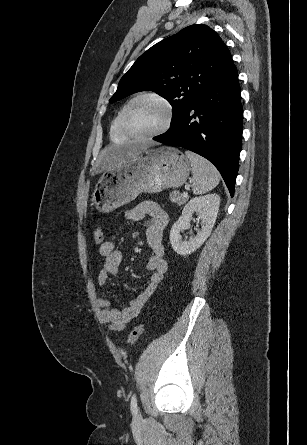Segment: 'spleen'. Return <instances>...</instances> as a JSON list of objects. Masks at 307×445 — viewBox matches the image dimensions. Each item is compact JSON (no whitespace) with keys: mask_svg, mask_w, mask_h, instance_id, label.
I'll return each mask as SVG.
<instances>
[{"mask_svg":"<svg viewBox=\"0 0 307 445\" xmlns=\"http://www.w3.org/2000/svg\"><path fill=\"white\" fill-rule=\"evenodd\" d=\"M185 154L192 166V190L194 194H204V192L215 188L219 184L220 172H218L214 164H211L209 160H206L200 154L191 152V150H186Z\"/></svg>","mask_w":307,"mask_h":445,"instance_id":"1","label":"spleen"}]
</instances>
